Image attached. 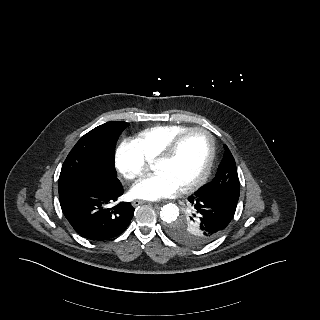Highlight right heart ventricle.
Segmentation results:
<instances>
[{
  "label": "right heart ventricle",
  "instance_id": "1",
  "mask_svg": "<svg viewBox=\"0 0 320 320\" xmlns=\"http://www.w3.org/2000/svg\"><path fill=\"white\" fill-rule=\"evenodd\" d=\"M187 128L189 127L177 124L154 126L139 132L134 138V142L144 159L152 161L177 134Z\"/></svg>",
  "mask_w": 320,
  "mask_h": 320
}]
</instances>
